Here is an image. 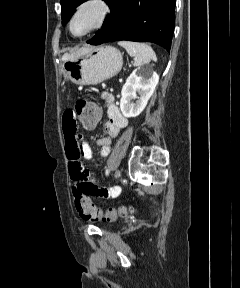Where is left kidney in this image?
<instances>
[{
    "mask_svg": "<svg viewBox=\"0 0 240 288\" xmlns=\"http://www.w3.org/2000/svg\"><path fill=\"white\" fill-rule=\"evenodd\" d=\"M158 81V74L150 67L135 69L127 78L121 91L120 109L122 114L127 118L138 116L146 107ZM133 99H137L135 103L132 102Z\"/></svg>",
    "mask_w": 240,
    "mask_h": 288,
    "instance_id": "obj_1",
    "label": "left kidney"
}]
</instances>
